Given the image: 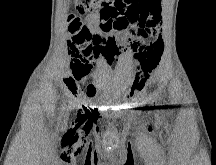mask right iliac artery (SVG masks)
<instances>
[{
  "mask_svg": "<svg viewBox=\"0 0 216 165\" xmlns=\"http://www.w3.org/2000/svg\"><path fill=\"white\" fill-rule=\"evenodd\" d=\"M65 108L64 107H62V111L64 110Z\"/></svg>",
  "mask_w": 216,
  "mask_h": 165,
  "instance_id": "82829eb1",
  "label": "right iliac artery"
}]
</instances>
